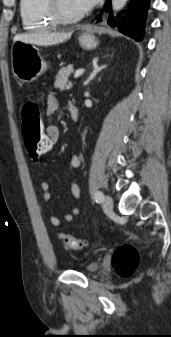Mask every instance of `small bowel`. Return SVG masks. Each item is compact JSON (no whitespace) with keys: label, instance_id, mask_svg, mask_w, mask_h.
Segmentation results:
<instances>
[{"label":"small bowel","instance_id":"c3829d8e","mask_svg":"<svg viewBox=\"0 0 171 337\" xmlns=\"http://www.w3.org/2000/svg\"><path fill=\"white\" fill-rule=\"evenodd\" d=\"M61 103L55 96L51 95L47 98L46 102V113L48 115H52L60 109ZM45 134L48 140H52V146L55 145L60 138V130L55 125H49L45 129ZM81 158L77 155H73L70 157L68 161V168L71 171H76L81 166ZM40 188L42 191V199L44 202H49L51 200V192L50 185L48 182L43 181L40 184ZM70 191L74 198L78 199L81 194V190L79 184L75 179H72L70 182ZM80 213V209L78 207H73L70 212H68L64 219L66 222H72L75 217H77ZM49 222L54 227H59L61 224L60 219L57 216H50Z\"/></svg>","mask_w":171,"mask_h":337}]
</instances>
